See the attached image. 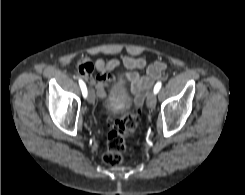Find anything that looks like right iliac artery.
<instances>
[{"instance_id": "obj_1", "label": "right iliac artery", "mask_w": 245, "mask_h": 195, "mask_svg": "<svg viewBox=\"0 0 245 195\" xmlns=\"http://www.w3.org/2000/svg\"><path fill=\"white\" fill-rule=\"evenodd\" d=\"M79 85H80L83 96L86 98L87 97V87L82 79H79Z\"/></svg>"}]
</instances>
